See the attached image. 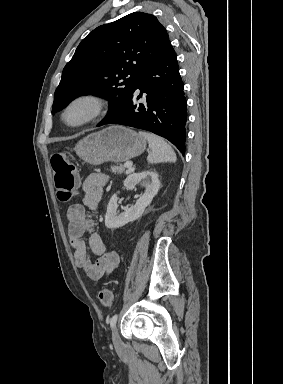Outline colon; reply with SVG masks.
Here are the masks:
<instances>
[{
    "label": "colon",
    "mask_w": 283,
    "mask_h": 384,
    "mask_svg": "<svg viewBox=\"0 0 283 384\" xmlns=\"http://www.w3.org/2000/svg\"><path fill=\"white\" fill-rule=\"evenodd\" d=\"M51 166L58 199L67 202L72 198L77 186L75 167L63 152H56L52 155ZM98 299L103 306L109 307L113 302L112 292L108 288L102 287L98 292Z\"/></svg>",
    "instance_id": "colon-1"
}]
</instances>
